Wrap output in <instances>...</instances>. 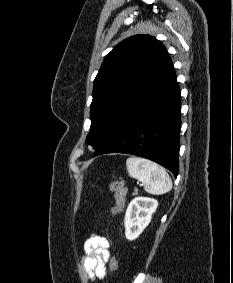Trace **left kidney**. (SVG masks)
Here are the masks:
<instances>
[{
	"label": "left kidney",
	"mask_w": 233,
	"mask_h": 283,
	"mask_svg": "<svg viewBox=\"0 0 233 283\" xmlns=\"http://www.w3.org/2000/svg\"><path fill=\"white\" fill-rule=\"evenodd\" d=\"M157 207L158 202L152 198L136 197L130 202L124 219L125 236L128 240L136 239L143 232Z\"/></svg>",
	"instance_id": "left-kidney-1"
}]
</instances>
